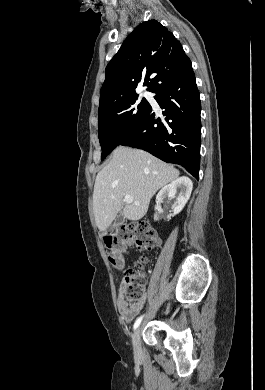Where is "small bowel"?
Masks as SVG:
<instances>
[{
	"mask_svg": "<svg viewBox=\"0 0 265 390\" xmlns=\"http://www.w3.org/2000/svg\"><path fill=\"white\" fill-rule=\"evenodd\" d=\"M123 293H124V282L119 287V296L117 299V305H118V310H119V313H120L122 319L125 322H131L139 314V312L142 310V308L145 304L146 298L143 297L141 300H139L137 302H134L132 304H128L124 300Z\"/></svg>",
	"mask_w": 265,
	"mask_h": 390,
	"instance_id": "1",
	"label": "small bowel"
}]
</instances>
